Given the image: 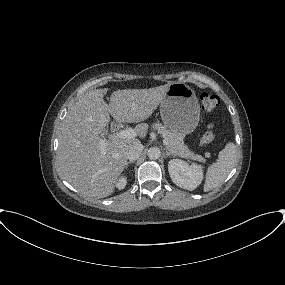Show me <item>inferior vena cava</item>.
<instances>
[{
	"label": "inferior vena cava",
	"instance_id": "1",
	"mask_svg": "<svg viewBox=\"0 0 285 285\" xmlns=\"http://www.w3.org/2000/svg\"><path fill=\"white\" fill-rule=\"evenodd\" d=\"M143 149L144 147L140 142L133 144L127 152V158L130 161L137 160L142 154Z\"/></svg>",
	"mask_w": 285,
	"mask_h": 285
}]
</instances>
